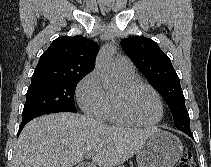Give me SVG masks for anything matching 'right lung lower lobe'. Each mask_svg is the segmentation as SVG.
Returning a JSON list of instances; mask_svg holds the SVG:
<instances>
[{
    "mask_svg": "<svg viewBox=\"0 0 211 167\" xmlns=\"http://www.w3.org/2000/svg\"><path fill=\"white\" fill-rule=\"evenodd\" d=\"M32 119H34V118H32ZM32 119H28V120H26V121H22V122H21V125L19 126V130H18V135H19L20 132L22 131L23 127H24L29 121H31Z\"/></svg>",
    "mask_w": 211,
    "mask_h": 167,
    "instance_id": "1",
    "label": "right lung lower lobe"
}]
</instances>
